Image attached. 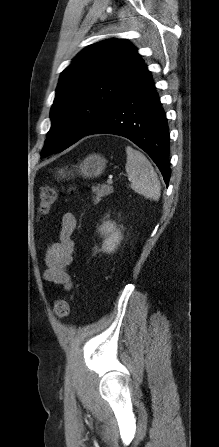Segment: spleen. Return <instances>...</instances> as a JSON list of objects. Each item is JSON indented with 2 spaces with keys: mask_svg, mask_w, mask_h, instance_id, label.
I'll return each instance as SVG.
<instances>
[{
  "mask_svg": "<svg viewBox=\"0 0 219 447\" xmlns=\"http://www.w3.org/2000/svg\"><path fill=\"white\" fill-rule=\"evenodd\" d=\"M126 172L131 181V188L145 198L158 201L160 182L149 160L137 150L126 148Z\"/></svg>",
  "mask_w": 219,
  "mask_h": 447,
  "instance_id": "obj_1",
  "label": "spleen"
}]
</instances>
